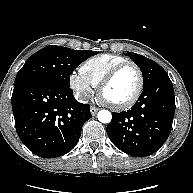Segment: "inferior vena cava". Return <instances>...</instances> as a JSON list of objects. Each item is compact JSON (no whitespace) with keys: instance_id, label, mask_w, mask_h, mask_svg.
I'll list each match as a JSON object with an SVG mask.
<instances>
[{"instance_id":"inferior-vena-cava-1","label":"inferior vena cava","mask_w":193,"mask_h":193,"mask_svg":"<svg viewBox=\"0 0 193 193\" xmlns=\"http://www.w3.org/2000/svg\"><path fill=\"white\" fill-rule=\"evenodd\" d=\"M75 98L81 103H87L89 101L90 95L86 92H80L75 95Z\"/></svg>"}]
</instances>
